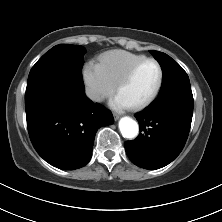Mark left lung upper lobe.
<instances>
[{"instance_id": "1", "label": "left lung upper lobe", "mask_w": 222, "mask_h": 222, "mask_svg": "<svg viewBox=\"0 0 222 222\" xmlns=\"http://www.w3.org/2000/svg\"><path fill=\"white\" fill-rule=\"evenodd\" d=\"M150 52L158 60L163 71V82L159 95L173 90L191 91L188 75L176 61L165 53L155 50H150Z\"/></svg>"}]
</instances>
